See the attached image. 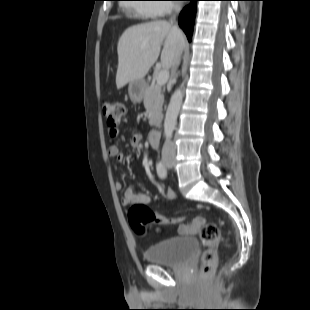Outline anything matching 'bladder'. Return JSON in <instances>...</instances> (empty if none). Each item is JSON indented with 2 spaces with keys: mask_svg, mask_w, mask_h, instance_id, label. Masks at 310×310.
<instances>
[{
  "mask_svg": "<svg viewBox=\"0 0 310 310\" xmlns=\"http://www.w3.org/2000/svg\"><path fill=\"white\" fill-rule=\"evenodd\" d=\"M198 248L192 237H173L149 246L144 257L149 264L177 267L190 261Z\"/></svg>",
  "mask_w": 310,
  "mask_h": 310,
  "instance_id": "1",
  "label": "bladder"
}]
</instances>
